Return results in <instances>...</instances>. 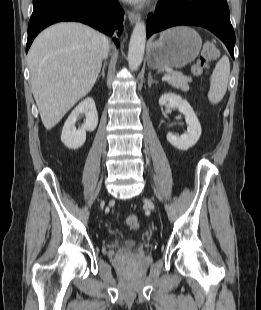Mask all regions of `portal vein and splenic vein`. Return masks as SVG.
Listing matches in <instances>:
<instances>
[{"label": "portal vein and splenic vein", "mask_w": 261, "mask_h": 310, "mask_svg": "<svg viewBox=\"0 0 261 310\" xmlns=\"http://www.w3.org/2000/svg\"><path fill=\"white\" fill-rule=\"evenodd\" d=\"M172 77L170 76V75H164L163 76V78H162V80L163 81H167V80H169V79H171Z\"/></svg>", "instance_id": "obj_1"}]
</instances>
